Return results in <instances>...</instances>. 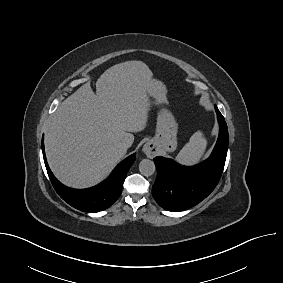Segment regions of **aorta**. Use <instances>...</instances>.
Returning <instances> with one entry per match:
<instances>
[{"label":"aorta","instance_id":"1","mask_svg":"<svg viewBox=\"0 0 283 283\" xmlns=\"http://www.w3.org/2000/svg\"><path fill=\"white\" fill-rule=\"evenodd\" d=\"M156 168L155 164L152 160L149 159H143L139 163V171L144 176H151L154 174Z\"/></svg>","mask_w":283,"mask_h":283}]
</instances>
